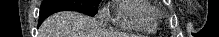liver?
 Instances as JSON below:
<instances>
[{
  "label": "liver",
  "mask_w": 219,
  "mask_h": 37,
  "mask_svg": "<svg viewBox=\"0 0 219 37\" xmlns=\"http://www.w3.org/2000/svg\"><path fill=\"white\" fill-rule=\"evenodd\" d=\"M41 37H101L97 22L78 12L61 11L48 17L40 27Z\"/></svg>",
  "instance_id": "liver-1"
}]
</instances>
